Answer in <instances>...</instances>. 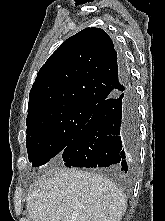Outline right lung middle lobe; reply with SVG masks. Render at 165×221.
Returning <instances> with one entry per match:
<instances>
[{"label": "right lung middle lobe", "mask_w": 165, "mask_h": 221, "mask_svg": "<svg viewBox=\"0 0 165 221\" xmlns=\"http://www.w3.org/2000/svg\"><path fill=\"white\" fill-rule=\"evenodd\" d=\"M93 112V106L70 105L42 110L28 117L26 147L32 166H41L61 154Z\"/></svg>", "instance_id": "1"}]
</instances>
